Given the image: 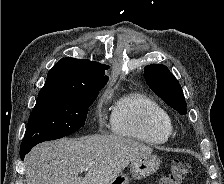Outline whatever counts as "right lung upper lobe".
Wrapping results in <instances>:
<instances>
[{"label":"right lung upper lobe","mask_w":224,"mask_h":184,"mask_svg":"<svg viewBox=\"0 0 224 184\" xmlns=\"http://www.w3.org/2000/svg\"><path fill=\"white\" fill-rule=\"evenodd\" d=\"M109 66L86 59L62 58L47 75L39 95H77L99 91L108 81Z\"/></svg>","instance_id":"right-lung-upper-lobe-1"}]
</instances>
